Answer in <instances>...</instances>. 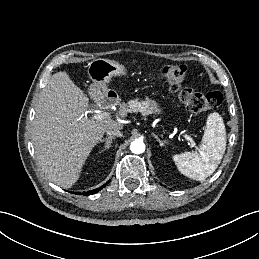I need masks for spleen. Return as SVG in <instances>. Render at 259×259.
<instances>
[{
	"label": "spleen",
	"instance_id": "obj_1",
	"mask_svg": "<svg viewBox=\"0 0 259 259\" xmlns=\"http://www.w3.org/2000/svg\"><path fill=\"white\" fill-rule=\"evenodd\" d=\"M226 150V130L222 117L210 113L207 117L203 140L198 152H184L173 156V160L183 175L203 181L213 174Z\"/></svg>",
	"mask_w": 259,
	"mask_h": 259
}]
</instances>
